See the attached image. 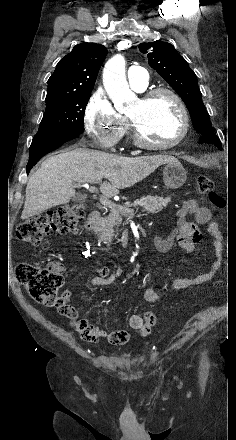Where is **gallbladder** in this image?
Wrapping results in <instances>:
<instances>
[{"instance_id":"1","label":"gallbladder","mask_w":236,"mask_h":440,"mask_svg":"<svg viewBox=\"0 0 236 440\" xmlns=\"http://www.w3.org/2000/svg\"><path fill=\"white\" fill-rule=\"evenodd\" d=\"M73 200H74L75 202H79V201L82 200V197H81L80 195H76V196L73 198Z\"/></svg>"}]
</instances>
